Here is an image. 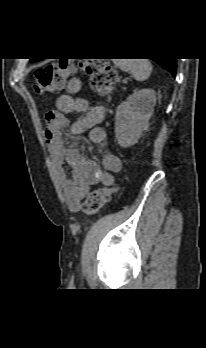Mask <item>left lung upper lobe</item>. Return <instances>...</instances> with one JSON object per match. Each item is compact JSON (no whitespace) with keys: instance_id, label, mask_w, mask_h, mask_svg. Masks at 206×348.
I'll use <instances>...</instances> for the list:
<instances>
[{"instance_id":"5c2ea615","label":"left lung upper lobe","mask_w":206,"mask_h":348,"mask_svg":"<svg viewBox=\"0 0 206 348\" xmlns=\"http://www.w3.org/2000/svg\"><path fill=\"white\" fill-rule=\"evenodd\" d=\"M32 62L37 61L36 59H31Z\"/></svg>"}]
</instances>
